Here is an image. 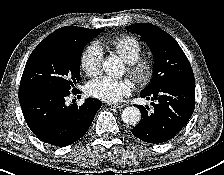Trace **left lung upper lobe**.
I'll list each match as a JSON object with an SVG mask.
<instances>
[{"label": "left lung upper lobe", "instance_id": "1", "mask_svg": "<svg viewBox=\"0 0 224 175\" xmlns=\"http://www.w3.org/2000/svg\"><path fill=\"white\" fill-rule=\"evenodd\" d=\"M127 29L139 33L154 57V73L143 93L174 81H195L190 63L175 39L151 23H136Z\"/></svg>", "mask_w": 224, "mask_h": 175}]
</instances>
